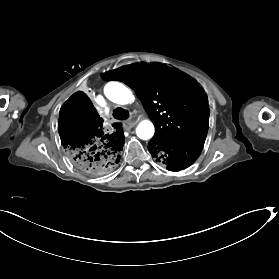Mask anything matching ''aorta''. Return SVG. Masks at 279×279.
<instances>
[{
    "instance_id": "aorta-1",
    "label": "aorta",
    "mask_w": 279,
    "mask_h": 279,
    "mask_svg": "<svg viewBox=\"0 0 279 279\" xmlns=\"http://www.w3.org/2000/svg\"><path fill=\"white\" fill-rule=\"evenodd\" d=\"M105 96L117 104H129L134 101V95L131 90L122 83L111 81L105 85ZM155 128L150 120H143L136 128L137 136L142 140H148L153 137Z\"/></svg>"
}]
</instances>
